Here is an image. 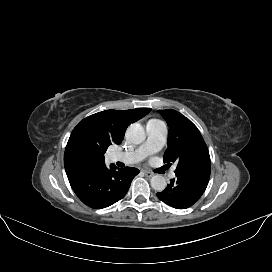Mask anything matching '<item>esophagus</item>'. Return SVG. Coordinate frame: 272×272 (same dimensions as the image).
I'll return each instance as SVG.
<instances>
[{
    "instance_id": "obj_1",
    "label": "esophagus",
    "mask_w": 272,
    "mask_h": 272,
    "mask_svg": "<svg viewBox=\"0 0 272 272\" xmlns=\"http://www.w3.org/2000/svg\"><path fill=\"white\" fill-rule=\"evenodd\" d=\"M144 173H145V175H146L147 177H152V176L154 175L153 172H150V171H147V170H145Z\"/></svg>"
}]
</instances>
